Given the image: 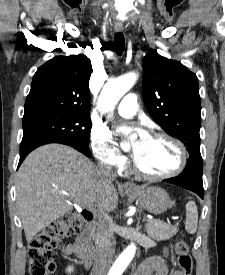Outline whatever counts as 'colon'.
I'll return each instance as SVG.
<instances>
[{"label":"colon","instance_id":"obj_1","mask_svg":"<svg viewBox=\"0 0 225 275\" xmlns=\"http://www.w3.org/2000/svg\"><path fill=\"white\" fill-rule=\"evenodd\" d=\"M91 219L90 211L81 210L46 226L30 243L29 275H50L55 266V250L61 240L79 232ZM175 252L181 274L192 275L193 261L185 240L176 243Z\"/></svg>","mask_w":225,"mask_h":275}]
</instances>
